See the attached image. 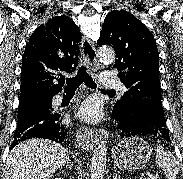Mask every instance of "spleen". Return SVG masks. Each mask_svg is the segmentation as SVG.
Returning a JSON list of instances; mask_svg holds the SVG:
<instances>
[{
  "label": "spleen",
  "mask_w": 183,
  "mask_h": 179,
  "mask_svg": "<svg viewBox=\"0 0 183 179\" xmlns=\"http://www.w3.org/2000/svg\"><path fill=\"white\" fill-rule=\"evenodd\" d=\"M155 152V164L164 170L166 179H176L180 171L178 160L162 146H157Z\"/></svg>",
  "instance_id": "3e777b00"
}]
</instances>
